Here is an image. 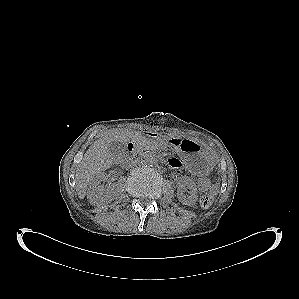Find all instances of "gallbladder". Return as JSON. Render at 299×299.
Returning <instances> with one entry per match:
<instances>
[{
    "label": "gallbladder",
    "mask_w": 299,
    "mask_h": 299,
    "mask_svg": "<svg viewBox=\"0 0 299 299\" xmlns=\"http://www.w3.org/2000/svg\"><path fill=\"white\" fill-rule=\"evenodd\" d=\"M109 152L112 154L122 155L126 152L125 143L114 141L109 146Z\"/></svg>",
    "instance_id": "gallbladder-1"
}]
</instances>
